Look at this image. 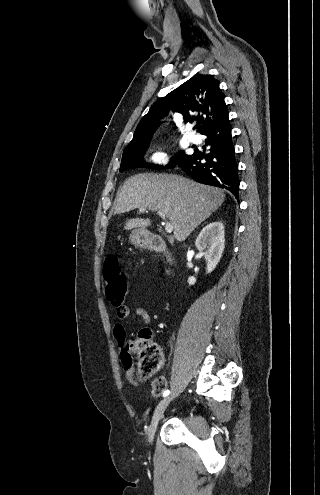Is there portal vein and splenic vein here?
Masks as SVG:
<instances>
[{
	"instance_id": "1",
	"label": "portal vein and splenic vein",
	"mask_w": 320,
	"mask_h": 495,
	"mask_svg": "<svg viewBox=\"0 0 320 495\" xmlns=\"http://www.w3.org/2000/svg\"><path fill=\"white\" fill-rule=\"evenodd\" d=\"M139 210H140V212H144V211H146V208H145V207H143V208H140ZM158 214H159V216H160L163 220H165V219H166V216H165V214H164L163 212L158 211ZM164 225H165V231H166L167 233H171V232L173 231V226L171 225V223L166 222V223H164Z\"/></svg>"
}]
</instances>
